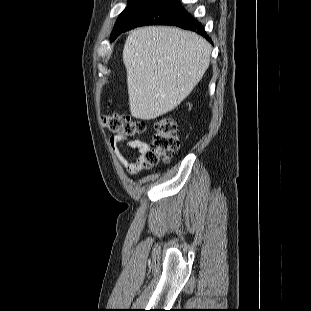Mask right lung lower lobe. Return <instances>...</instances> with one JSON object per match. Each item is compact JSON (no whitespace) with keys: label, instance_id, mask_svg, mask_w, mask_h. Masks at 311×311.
<instances>
[{"label":"right lung lower lobe","instance_id":"right-lung-lower-lobe-1","mask_svg":"<svg viewBox=\"0 0 311 311\" xmlns=\"http://www.w3.org/2000/svg\"><path fill=\"white\" fill-rule=\"evenodd\" d=\"M144 25H172L194 31L211 39L204 31L201 23L196 21L180 4L179 0H158L138 14L123 32Z\"/></svg>","mask_w":311,"mask_h":311}]
</instances>
